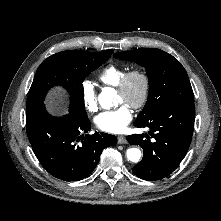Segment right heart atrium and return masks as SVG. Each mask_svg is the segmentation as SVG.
Masks as SVG:
<instances>
[{"mask_svg": "<svg viewBox=\"0 0 221 221\" xmlns=\"http://www.w3.org/2000/svg\"><path fill=\"white\" fill-rule=\"evenodd\" d=\"M81 96L87 111L95 112L98 109L96 89L92 81L86 80L82 83Z\"/></svg>", "mask_w": 221, "mask_h": 221, "instance_id": "right-heart-atrium-1", "label": "right heart atrium"}]
</instances>
